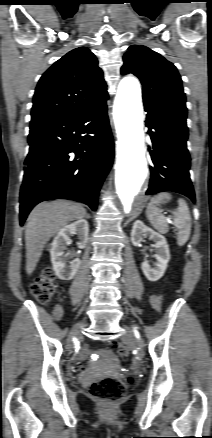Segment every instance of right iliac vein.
<instances>
[{
  "instance_id": "obj_1",
  "label": "right iliac vein",
  "mask_w": 212,
  "mask_h": 438,
  "mask_svg": "<svg viewBox=\"0 0 212 438\" xmlns=\"http://www.w3.org/2000/svg\"><path fill=\"white\" fill-rule=\"evenodd\" d=\"M80 328H81V326H77V327H75L71 331V333L69 335V341H68L69 342V348H71V340H72V338L78 337L80 335Z\"/></svg>"
}]
</instances>
